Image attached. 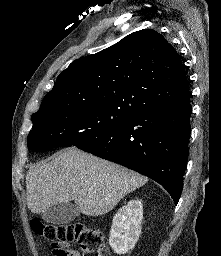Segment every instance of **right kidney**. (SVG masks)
I'll return each instance as SVG.
<instances>
[{"instance_id":"ca27d5eb","label":"right kidney","mask_w":221,"mask_h":256,"mask_svg":"<svg viewBox=\"0 0 221 256\" xmlns=\"http://www.w3.org/2000/svg\"><path fill=\"white\" fill-rule=\"evenodd\" d=\"M142 202L131 200L113 217L109 244L116 254L124 255L135 247L141 234Z\"/></svg>"}]
</instances>
